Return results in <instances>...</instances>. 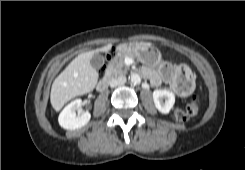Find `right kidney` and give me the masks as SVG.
<instances>
[{"mask_svg": "<svg viewBox=\"0 0 245 170\" xmlns=\"http://www.w3.org/2000/svg\"><path fill=\"white\" fill-rule=\"evenodd\" d=\"M81 99H75L70 102L60 113L58 117L59 125L67 130H75L86 125L91 114L88 111L82 112L80 115H76V110L82 106Z\"/></svg>", "mask_w": 245, "mask_h": 170, "instance_id": "ca27d5eb", "label": "right kidney"}]
</instances>
